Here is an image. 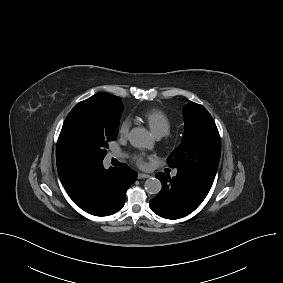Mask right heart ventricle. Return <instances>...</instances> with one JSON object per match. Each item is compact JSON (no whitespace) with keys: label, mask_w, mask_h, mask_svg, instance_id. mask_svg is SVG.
<instances>
[{"label":"right heart ventricle","mask_w":283,"mask_h":283,"mask_svg":"<svg viewBox=\"0 0 283 283\" xmlns=\"http://www.w3.org/2000/svg\"><path fill=\"white\" fill-rule=\"evenodd\" d=\"M142 118L158 137L168 134L171 129V119L161 109H149L142 114Z\"/></svg>","instance_id":"obj_1"}]
</instances>
